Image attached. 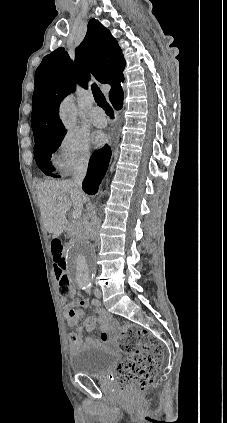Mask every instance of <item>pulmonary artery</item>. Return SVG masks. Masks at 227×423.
Listing matches in <instances>:
<instances>
[{"label":"pulmonary artery","mask_w":227,"mask_h":423,"mask_svg":"<svg viewBox=\"0 0 227 423\" xmlns=\"http://www.w3.org/2000/svg\"><path fill=\"white\" fill-rule=\"evenodd\" d=\"M89 121L97 128H105L107 126V118L104 111L99 107H93L89 111Z\"/></svg>","instance_id":"e3ab8cb5"}]
</instances>
